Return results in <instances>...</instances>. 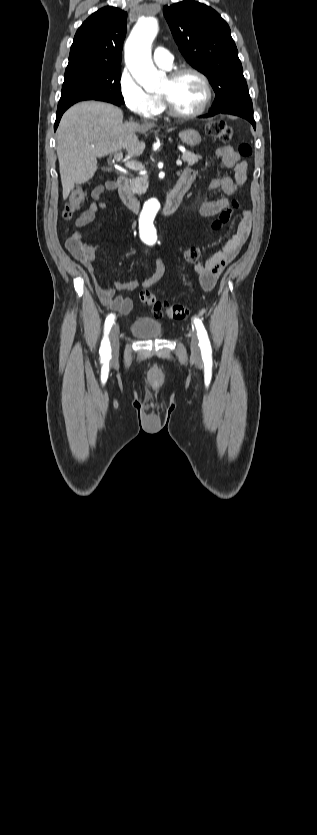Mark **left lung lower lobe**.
Masks as SVG:
<instances>
[{
  "instance_id": "left-lung-lower-lobe-1",
  "label": "left lung lower lobe",
  "mask_w": 317,
  "mask_h": 835,
  "mask_svg": "<svg viewBox=\"0 0 317 835\" xmlns=\"http://www.w3.org/2000/svg\"><path fill=\"white\" fill-rule=\"evenodd\" d=\"M219 113L232 114V115H236V116H240L242 118H245L253 125L254 129H256V123L253 119V112L248 111V110H246L244 108H241V107H228L226 109H212L208 114L203 115L201 117H211V116H214V115L219 114Z\"/></svg>"
}]
</instances>
